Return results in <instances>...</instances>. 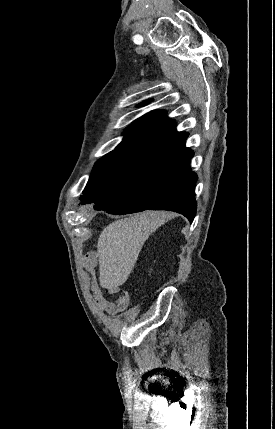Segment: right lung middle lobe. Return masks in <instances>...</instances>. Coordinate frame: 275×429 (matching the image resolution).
<instances>
[{
	"label": "right lung middle lobe",
	"instance_id": "dd1d6c3e",
	"mask_svg": "<svg viewBox=\"0 0 275 429\" xmlns=\"http://www.w3.org/2000/svg\"><path fill=\"white\" fill-rule=\"evenodd\" d=\"M150 159L122 151H112L100 158L83 191L82 204L93 203L117 190Z\"/></svg>",
	"mask_w": 275,
	"mask_h": 429
}]
</instances>
